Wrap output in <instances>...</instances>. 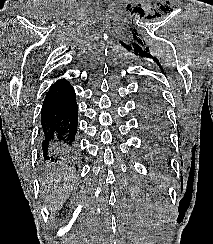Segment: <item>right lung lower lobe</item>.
Segmentation results:
<instances>
[{
  "label": "right lung lower lobe",
  "instance_id": "1",
  "mask_svg": "<svg viewBox=\"0 0 213 244\" xmlns=\"http://www.w3.org/2000/svg\"><path fill=\"white\" fill-rule=\"evenodd\" d=\"M78 110L73 87L57 80L46 93L41 110L42 151L45 160L66 162L77 155Z\"/></svg>",
  "mask_w": 213,
  "mask_h": 244
}]
</instances>
